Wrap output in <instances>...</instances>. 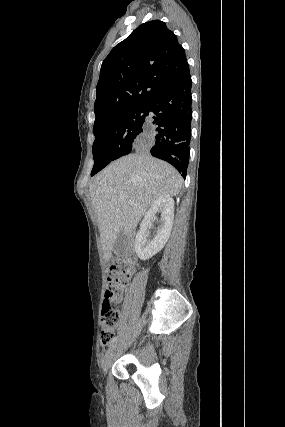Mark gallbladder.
Returning a JSON list of instances; mask_svg holds the SVG:
<instances>
[{
	"mask_svg": "<svg viewBox=\"0 0 285 427\" xmlns=\"http://www.w3.org/2000/svg\"><path fill=\"white\" fill-rule=\"evenodd\" d=\"M125 246L126 237L122 232H120L116 237L113 249L116 253H121L124 250Z\"/></svg>",
	"mask_w": 285,
	"mask_h": 427,
	"instance_id": "obj_1",
	"label": "gallbladder"
}]
</instances>
